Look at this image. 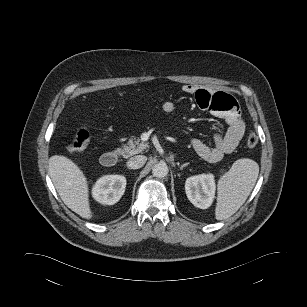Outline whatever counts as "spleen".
<instances>
[{
    "label": "spleen",
    "instance_id": "obj_1",
    "mask_svg": "<svg viewBox=\"0 0 307 307\" xmlns=\"http://www.w3.org/2000/svg\"><path fill=\"white\" fill-rule=\"evenodd\" d=\"M259 174L257 162L236 160L229 171L218 180L215 218L225 220L238 211L255 186Z\"/></svg>",
    "mask_w": 307,
    "mask_h": 307
}]
</instances>
